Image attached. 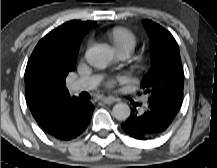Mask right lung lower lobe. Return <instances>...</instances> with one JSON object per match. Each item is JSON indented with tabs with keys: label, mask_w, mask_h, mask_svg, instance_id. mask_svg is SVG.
Instances as JSON below:
<instances>
[{
	"label": "right lung lower lobe",
	"mask_w": 217,
	"mask_h": 168,
	"mask_svg": "<svg viewBox=\"0 0 217 168\" xmlns=\"http://www.w3.org/2000/svg\"><path fill=\"white\" fill-rule=\"evenodd\" d=\"M93 106L86 100L64 102L53 111L36 120L49 135L60 140H71L83 133L89 124Z\"/></svg>",
	"instance_id": "right-lung-lower-lobe-1"
}]
</instances>
